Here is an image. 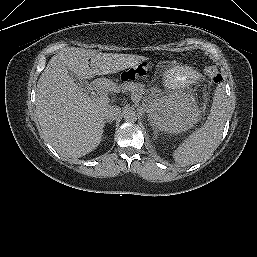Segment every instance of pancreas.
Returning <instances> with one entry per match:
<instances>
[{
	"label": "pancreas",
	"mask_w": 257,
	"mask_h": 257,
	"mask_svg": "<svg viewBox=\"0 0 257 257\" xmlns=\"http://www.w3.org/2000/svg\"><path fill=\"white\" fill-rule=\"evenodd\" d=\"M121 89L124 91H127V90L131 91L132 98L137 102H139L143 98V95L145 93V89L140 84H137V83H128V84L122 85Z\"/></svg>",
	"instance_id": "pancreas-1"
}]
</instances>
